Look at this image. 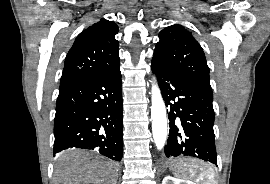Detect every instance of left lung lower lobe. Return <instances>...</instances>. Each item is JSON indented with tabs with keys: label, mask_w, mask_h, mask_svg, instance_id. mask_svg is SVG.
Here are the masks:
<instances>
[{
	"label": "left lung lower lobe",
	"mask_w": 270,
	"mask_h": 184,
	"mask_svg": "<svg viewBox=\"0 0 270 184\" xmlns=\"http://www.w3.org/2000/svg\"><path fill=\"white\" fill-rule=\"evenodd\" d=\"M151 67L169 112L166 157L190 156L217 165L212 91L155 57Z\"/></svg>",
	"instance_id": "obj_1"
}]
</instances>
